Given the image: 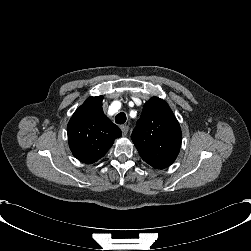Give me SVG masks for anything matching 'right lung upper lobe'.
I'll return each mask as SVG.
<instances>
[{"instance_id": "1", "label": "right lung upper lobe", "mask_w": 251, "mask_h": 251, "mask_svg": "<svg viewBox=\"0 0 251 251\" xmlns=\"http://www.w3.org/2000/svg\"><path fill=\"white\" fill-rule=\"evenodd\" d=\"M103 96L89 97L73 114L68 126V142L73 155L92 164L102 158L122 133L102 109Z\"/></svg>"}]
</instances>
